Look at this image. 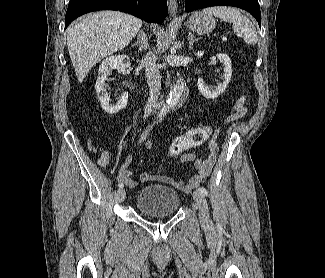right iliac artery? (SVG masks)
<instances>
[{
	"mask_svg": "<svg viewBox=\"0 0 325 278\" xmlns=\"http://www.w3.org/2000/svg\"><path fill=\"white\" fill-rule=\"evenodd\" d=\"M148 131H149V129H147V130L143 133V135L141 136L140 142H141L143 139L146 138V135L148 134ZM118 186H119V188H123V187H124V184H123V183H119Z\"/></svg>",
	"mask_w": 325,
	"mask_h": 278,
	"instance_id": "1",
	"label": "right iliac artery"
}]
</instances>
